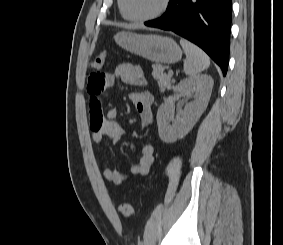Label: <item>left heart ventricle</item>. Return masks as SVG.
Segmentation results:
<instances>
[{"label":"left heart ventricle","mask_w":283,"mask_h":245,"mask_svg":"<svg viewBox=\"0 0 283 245\" xmlns=\"http://www.w3.org/2000/svg\"><path fill=\"white\" fill-rule=\"evenodd\" d=\"M163 0H125L127 14L132 17H145L156 12Z\"/></svg>","instance_id":"b2bd125f"}]
</instances>
